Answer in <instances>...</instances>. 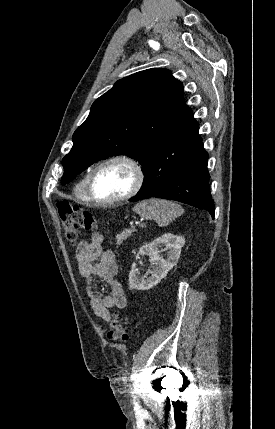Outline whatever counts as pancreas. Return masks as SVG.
<instances>
[{"label": "pancreas", "instance_id": "1", "mask_svg": "<svg viewBox=\"0 0 275 429\" xmlns=\"http://www.w3.org/2000/svg\"><path fill=\"white\" fill-rule=\"evenodd\" d=\"M135 229H126L120 234L117 235V245H121L124 240H126L128 237L131 236L132 232H134Z\"/></svg>", "mask_w": 275, "mask_h": 429}]
</instances>
